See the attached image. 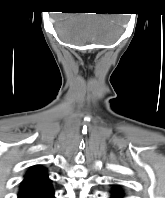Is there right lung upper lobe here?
<instances>
[{"label":"right lung upper lobe","instance_id":"cb5924a9","mask_svg":"<svg viewBox=\"0 0 165 198\" xmlns=\"http://www.w3.org/2000/svg\"><path fill=\"white\" fill-rule=\"evenodd\" d=\"M51 186L47 171L39 166H34L21 183L18 198H26L34 193Z\"/></svg>","mask_w":165,"mask_h":198}]
</instances>
